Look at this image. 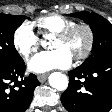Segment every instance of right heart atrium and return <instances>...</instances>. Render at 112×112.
Wrapping results in <instances>:
<instances>
[{"mask_svg":"<svg viewBox=\"0 0 112 112\" xmlns=\"http://www.w3.org/2000/svg\"><path fill=\"white\" fill-rule=\"evenodd\" d=\"M13 45L23 58L30 57L39 47V37L29 22L17 27L13 34Z\"/></svg>","mask_w":112,"mask_h":112,"instance_id":"right-heart-atrium-1","label":"right heart atrium"}]
</instances>
